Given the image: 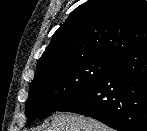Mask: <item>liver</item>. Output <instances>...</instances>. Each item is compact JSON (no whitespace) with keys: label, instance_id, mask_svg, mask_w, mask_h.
<instances>
[{"label":"liver","instance_id":"obj_1","mask_svg":"<svg viewBox=\"0 0 147 131\" xmlns=\"http://www.w3.org/2000/svg\"><path fill=\"white\" fill-rule=\"evenodd\" d=\"M46 131H112L101 122L73 113H56Z\"/></svg>","mask_w":147,"mask_h":131}]
</instances>
